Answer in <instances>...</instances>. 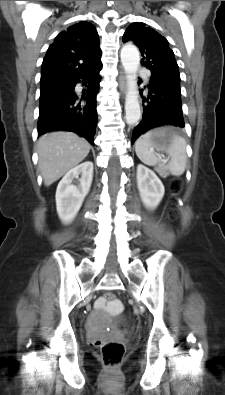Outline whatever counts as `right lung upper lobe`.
I'll return each instance as SVG.
<instances>
[{
  "label": "right lung upper lobe",
  "instance_id": "obj_1",
  "mask_svg": "<svg viewBox=\"0 0 225 395\" xmlns=\"http://www.w3.org/2000/svg\"><path fill=\"white\" fill-rule=\"evenodd\" d=\"M100 58L98 33L91 23L79 22L68 27L47 50L42 63L41 88L91 69Z\"/></svg>",
  "mask_w": 225,
  "mask_h": 395
}]
</instances>
